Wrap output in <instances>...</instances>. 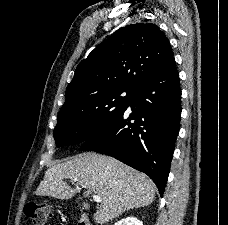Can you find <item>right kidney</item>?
<instances>
[{"label": "right kidney", "instance_id": "right-kidney-1", "mask_svg": "<svg viewBox=\"0 0 228 225\" xmlns=\"http://www.w3.org/2000/svg\"><path fill=\"white\" fill-rule=\"evenodd\" d=\"M115 225H143L142 221H138L136 217H127V219H121L117 221Z\"/></svg>", "mask_w": 228, "mask_h": 225}]
</instances>
